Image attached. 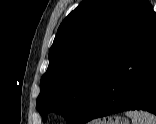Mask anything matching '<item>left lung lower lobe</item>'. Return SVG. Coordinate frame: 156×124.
Returning a JSON list of instances; mask_svg holds the SVG:
<instances>
[{
	"label": "left lung lower lobe",
	"mask_w": 156,
	"mask_h": 124,
	"mask_svg": "<svg viewBox=\"0 0 156 124\" xmlns=\"http://www.w3.org/2000/svg\"><path fill=\"white\" fill-rule=\"evenodd\" d=\"M126 110L156 115V17L116 61L79 124Z\"/></svg>",
	"instance_id": "0a47b994"
}]
</instances>
